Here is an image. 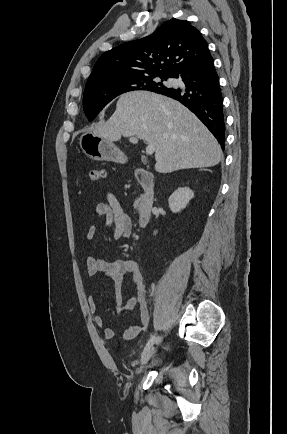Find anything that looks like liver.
<instances>
[{
	"label": "liver",
	"instance_id": "1",
	"mask_svg": "<svg viewBox=\"0 0 287 434\" xmlns=\"http://www.w3.org/2000/svg\"><path fill=\"white\" fill-rule=\"evenodd\" d=\"M93 132L110 142L131 132V143L143 139L155 145V170L159 173L212 167L222 158L217 140L191 111L153 92L121 95L114 114Z\"/></svg>",
	"mask_w": 287,
	"mask_h": 434
}]
</instances>
